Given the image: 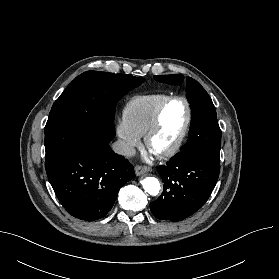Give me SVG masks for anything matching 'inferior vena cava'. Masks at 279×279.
Here are the masks:
<instances>
[{
    "label": "inferior vena cava",
    "instance_id": "obj_1",
    "mask_svg": "<svg viewBox=\"0 0 279 279\" xmlns=\"http://www.w3.org/2000/svg\"><path fill=\"white\" fill-rule=\"evenodd\" d=\"M112 148L117 154L126 157H131L136 154L135 149L130 144L120 139L112 145Z\"/></svg>",
    "mask_w": 279,
    "mask_h": 279
}]
</instances>
